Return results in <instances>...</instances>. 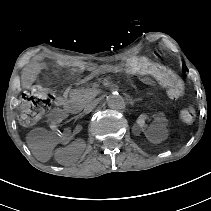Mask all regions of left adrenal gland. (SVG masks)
I'll return each mask as SVG.
<instances>
[{
  "instance_id": "left-adrenal-gland-1",
  "label": "left adrenal gland",
  "mask_w": 211,
  "mask_h": 211,
  "mask_svg": "<svg viewBox=\"0 0 211 211\" xmlns=\"http://www.w3.org/2000/svg\"><path fill=\"white\" fill-rule=\"evenodd\" d=\"M139 100H141V98L134 99L133 101L130 102V104L133 105L134 102L139 101Z\"/></svg>"
}]
</instances>
